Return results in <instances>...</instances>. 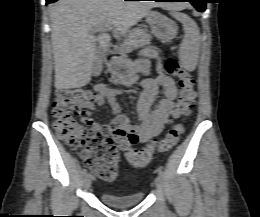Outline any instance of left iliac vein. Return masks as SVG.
I'll list each match as a JSON object with an SVG mask.
<instances>
[{"instance_id":"left-iliac-vein-1","label":"left iliac vein","mask_w":260,"mask_h":217,"mask_svg":"<svg viewBox=\"0 0 260 217\" xmlns=\"http://www.w3.org/2000/svg\"><path fill=\"white\" fill-rule=\"evenodd\" d=\"M155 185H156V188L159 190V191H162V188H163V181H162V178L160 176H157L156 179H155Z\"/></svg>"}]
</instances>
